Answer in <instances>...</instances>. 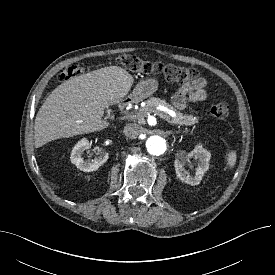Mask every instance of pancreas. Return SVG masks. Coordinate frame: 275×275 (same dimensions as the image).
<instances>
[{
	"mask_svg": "<svg viewBox=\"0 0 275 275\" xmlns=\"http://www.w3.org/2000/svg\"><path fill=\"white\" fill-rule=\"evenodd\" d=\"M159 105L165 106L167 109L173 110V107L169 105L165 100H161L156 97H152L145 102V106L142 107L137 115H135V119L139 120L140 122L144 121V118L149 113H159L157 107ZM168 116V115H167ZM170 118L171 123L177 125H194L199 122V117H195L193 115L182 114L181 112H176L175 117L168 116Z\"/></svg>",
	"mask_w": 275,
	"mask_h": 275,
	"instance_id": "obj_1",
	"label": "pancreas"
}]
</instances>
